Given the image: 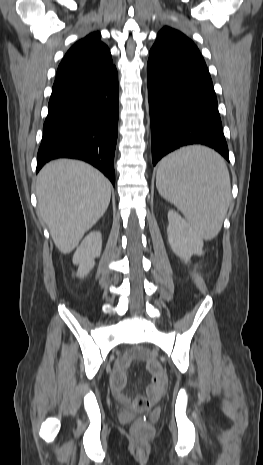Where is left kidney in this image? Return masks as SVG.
Segmentation results:
<instances>
[{"instance_id":"5707ae66","label":"left kidney","mask_w":263,"mask_h":465,"mask_svg":"<svg viewBox=\"0 0 263 465\" xmlns=\"http://www.w3.org/2000/svg\"><path fill=\"white\" fill-rule=\"evenodd\" d=\"M168 222V241L177 256L187 263L193 254H203V240L177 212H168Z\"/></svg>"}]
</instances>
